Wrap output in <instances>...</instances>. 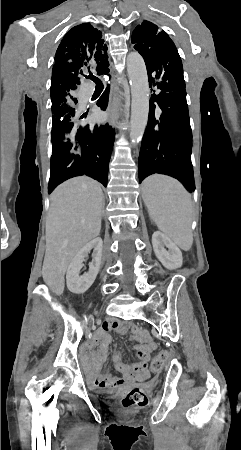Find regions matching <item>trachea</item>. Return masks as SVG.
<instances>
[{
  "label": "trachea",
  "instance_id": "3493384b",
  "mask_svg": "<svg viewBox=\"0 0 241 450\" xmlns=\"http://www.w3.org/2000/svg\"><path fill=\"white\" fill-rule=\"evenodd\" d=\"M86 78H90L91 80H93V82H95L96 85H102V81L99 78H97L94 75H92V74L86 76Z\"/></svg>",
  "mask_w": 241,
  "mask_h": 450
}]
</instances>
